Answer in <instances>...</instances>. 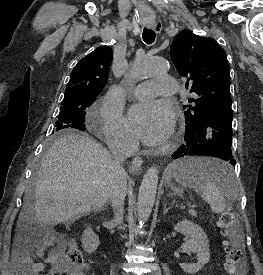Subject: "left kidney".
I'll list each match as a JSON object with an SVG mask.
<instances>
[{
    "label": "left kidney",
    "instance_id": "1",
    "mask_svg": "<svg viewBox=\"0 0 263 275\" xmlns=\"http://www.w3.org/2000/svg\"><path fill=\"white\" fill-rule=\"evenodd\" d=\"M175 232H180L186 236L185 243L181 248L184 251L197 253V263H180V267L188 274H195L209 262V241L204 230L192 221L183 220L174 226Z\"/></svg>",
    "mask_w": 263,
    "mask_h": 275
}]
</instances>
